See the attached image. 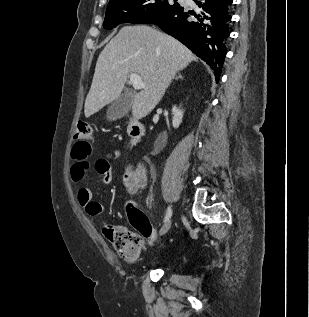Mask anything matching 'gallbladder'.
Segmentation results:
<instances>
[{"instance_id": "obj_1", "label": "gallbladder", "mask_w": 309, "mask_h": 317, "mask_svg": "<svg viewBox=\"0 0 309 317\" xmlns=\"http://www.w3.org/2000/svg\"><path fill=\"white\" fill-rule=\"evenodd\" d=\"M131 104L132 96L126 91L110 105L107 110V119L114 121L121 118L130 109Z\"/></svg>"}]
</instances>
